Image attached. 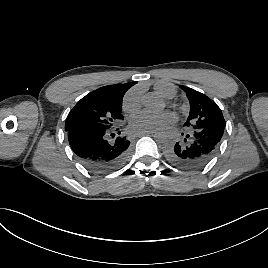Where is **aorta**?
Instances as JSON below:
<instances>
[{
  "label": "aorta",
  "instance_id": "aorta-1",
  "mask_svg": "<svg viewBox=\"0 0 268 268\" xmlns=\"http://www.w3.org/2000/svg\"><path fill=\"white\" fill-rule=\"evenodd\" d=\"M146 99H147V100H146V104H147V106H148L150 109L155 110V109H159V108H160V104H159V102L157 101V99H155V98H153V97H151V96H148ZM166 138H167V135H166V133H165L164 131H162V130L156 131V132L154 133V140H155L156 142L162 143V142H164V141L166 140Z\"/></svg>",
  "mask_w": 268,
  "mask_h": 268
}]
</instances>
